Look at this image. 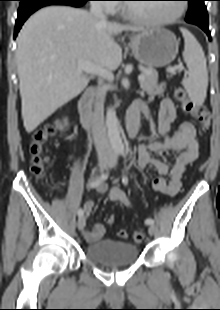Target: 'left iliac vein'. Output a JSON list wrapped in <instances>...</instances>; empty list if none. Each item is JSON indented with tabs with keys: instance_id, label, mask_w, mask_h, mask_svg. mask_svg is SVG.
<instances>
[{
	"instance_id": "obj_1",
	"label": "left iliac vein",
	"mask_w": 220,
	"mask_h": 310,
	"mask_svg": "<svg viewBox=\"0 0 220 310\" xmlns=\"http://www.w3.org/2000/svg\"><path fill=\"white\" fill-rule=\"evenodd\" d=\"M115 165H116V159L113 157V158L111 159L110 163H109V166L113 168V167H115ZM148 232H149V234H150L151 236L155 235V233H156V227H155L154 224H150V225H149Z\"/></svg>"
}]
</instances>
